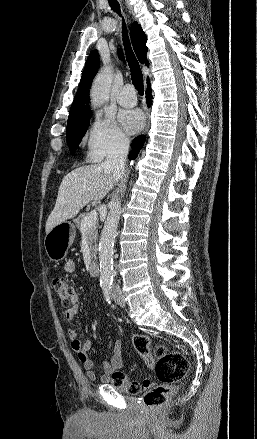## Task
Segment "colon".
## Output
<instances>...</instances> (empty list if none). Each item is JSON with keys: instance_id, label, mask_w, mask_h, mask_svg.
Segmentation results:
<instances>
[{"instance_id": "5ec220e1", "label": "colon", "mask_w": 257, "mask_h": 439, "mask_svg": "<svg viewBox=\"0 0 257 439\" xmlns=\"http://www.w3.org/2000/svg\"><path fill=\"white\" fill-rule=\"evenodd\" d=\"M52 285L65 306H70L74 295L73 289L66 279L58 276L53 278ZM133 344L138 354L154 369L161 384L152 385L143 397L147 407L156 408L166 404L174 394V384L182 380L189 369V362L180 351H169L165 347H153L150 338L145 334H135ZM116 388L123 392L135 394L141 386L123 373L116 374L113 379ZM149 387V384H145Z\"/></svg>"}]
</instances>
